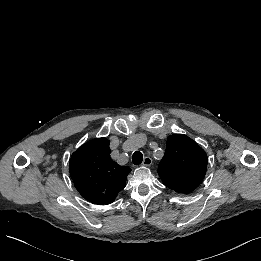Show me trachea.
<instances>
[{
	"label": "trachea",
	"mask_w": 261,
	"mask_h": 261,
	"mask_svg": "<svg viewBox=\"0 0 261 261\" xmlns=\"http://www.w3.org/2000/svg\"><path fill=\"white\" fill-rule=\"evenodd\" d=\"M143 161V155L140 151H135L132 155V162L135 165L141 164Z\"/></svg>",
	"instance_id": "trachea-1"
}]
</instances>
